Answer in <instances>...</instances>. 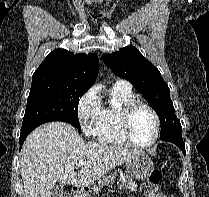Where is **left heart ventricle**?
<instances>
[{"mask_svg":"<svg viewBox=\"0 0 209 197\" xmlns=\"http://www.w3.org/2000/svg\"><path fill=\"white\" fill-rule=\"evenodd\" d=\"M155 120L151 112L145 107H138L132 114L131 132L138 143H148L153 138Z\"/></svg>","mask_w":209,"mask_h":197,"instance_id":"left-heart-ventricle-1","label":"left heart ventricle"}]
</instances>
